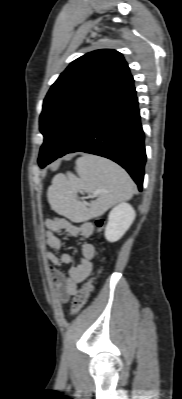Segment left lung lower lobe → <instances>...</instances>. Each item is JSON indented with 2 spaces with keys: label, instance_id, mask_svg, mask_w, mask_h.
Instances as JSON below:
<instances>
[{
  "label": "left lung lower lobe",
  "instance_id": "1",
  "mask_svg": "<svg viewBox=\"0 0 182 399\" xmlns=\"http://www.w3.org/2000/svg\"><path fill=\"white\" fill-rule=\"evenodd\" d=\"M73 152L95 154L115 161L127 170L142 190L146 154L133 81L92 114L57 158Z\"/></svg>",
  "mask_w": 182,
  "mask_h": 399
}]
</instances>
